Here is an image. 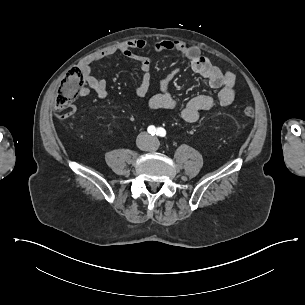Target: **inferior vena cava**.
I'll use <instances>...</instances> for the list:
<instances>
[{
  "mask_svg": "<svg viewBox=\"0 0 305 305\" xmlns=\"http://www.w3.org/2000/svg\"><path fill=\"white\" fill-rule=\"evenodd\" d=\"M151 142L149 141V137L147 141H141V148L143 150H149V146H150Z\"/></svg>",
  "mask_w": 305,
  "mask_h": 305,
  "instance_id": "inferior-vena-cava-1",
  "label": "inferior vena cava"
}]
</instances>
